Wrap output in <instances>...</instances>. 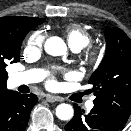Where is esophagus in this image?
Masks as SVG:
<instances>
[{"label":"esophagus","mask_w":131,"mask_h":131,"mask_svg":"<svg viewBox=\"0 0 131 131\" xmlns=\"http://www.w3.org/2000/svg\"><path fill=\"white\" fill-rule=\"evenodd\" d=\"M46 100L49 103H53V102H61L63 101V99L61 97L58 96H54V95H46Z\"/></svg>","instance_id":"esophagus-1"}]
</instances>
